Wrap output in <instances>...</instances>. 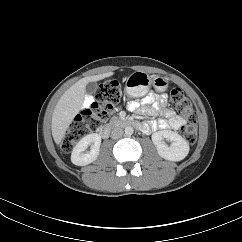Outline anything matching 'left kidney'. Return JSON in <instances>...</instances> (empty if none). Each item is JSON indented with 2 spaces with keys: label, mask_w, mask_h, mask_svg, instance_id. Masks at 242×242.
I'll use <instances>...</instances> for the list:
<instances>
[{
  "label": "left kidney",
  "mask_w": 242,
  "mask_h": 242,
  "mask_svg": "<svg viewBox=\"0 0 242 242\" xmlns=\"http://www.w3.org/2000/svg\"><path fill=\"white\" fill-rule=\"evenodd\" d=\"M171 142L168 146L164 140ZM152 141L157 148L158 154L169 161H181L189 153L188 142L178 133L171 130H162L152 135Z\"/></svg>",
  "instance_id": "obj_1"
}]
</instances>
